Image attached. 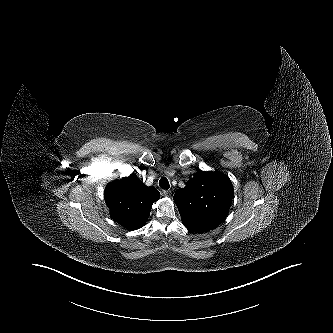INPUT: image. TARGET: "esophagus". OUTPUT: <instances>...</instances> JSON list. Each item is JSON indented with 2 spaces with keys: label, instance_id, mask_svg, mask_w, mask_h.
<instances>
[{
  "label": "esophagus",
  "instance_id": "obj_1",
  "mask_svg": "<svg viewBox=\"0 0 333 333\" xmlns=\"http://www.w3.org/2000/svg\"><path fill=\"white\" fill-rule=\"evenodd\" d=\"M163 194H164L166 197H170L171 194H172V191H171V190H163Z\"/></svg>",
  "mask_w": 333,
  "mask_h": 333
}]
</instances>
